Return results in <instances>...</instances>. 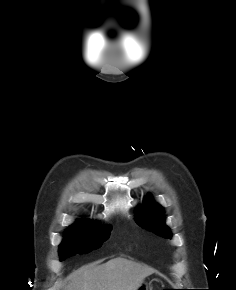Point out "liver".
I'll return each mask as SVG.
<instances>
[{
	"label": "liver",
	"mask_w": 236,
	"mask_h": 290,
	"mask_svg": "<svg viewBox=\"0 0 236 290\" xmlns=\"http://www.w3.org/2000/svg\"><path fill=\"white\" fill-rule=\"evenodd\" d=\"M152 269L115 258L102 265L81 267L69 276L63 290H137Z\"/></svg>",
	"instance_id": "obj_1"
}]
</instances>
